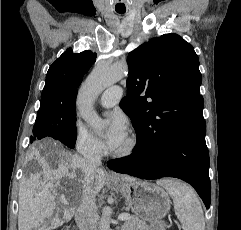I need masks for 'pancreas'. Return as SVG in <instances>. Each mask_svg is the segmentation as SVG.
<instances>
[{"label": "pancreas", "mask_w": 241, "mask_h": 230, "mask_svg": "<svg viewBox=\"0 0 241 230\" xmlns=\"http://www.w3.org/2000/svg\"><path fill=\"white\" fill-rule=\"evenodd\" d=\"M121 230H149L147 224L135 216H131L122 225Z\"/></svg>", "instance_id": "cf45deb5"}]
</instances>
